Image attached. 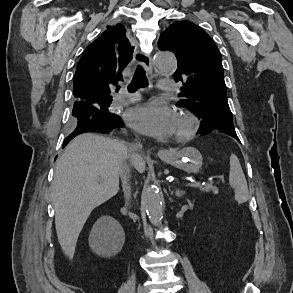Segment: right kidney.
I'll list each match as a JSON object with an SVG mask.
<instances>
[{
  "label": "right kidney",
  "mask_w": 293,
  "mask_h": 293,
  "mask_svg": "<svg viewBox=\"0 0 293 293\" xmlns=\"http://www.w3.org/2000/svg\"><path fill=\"white\" fill-rule=\"evenodd\" d=\"M108 220L114 224V226L116 227V230L115 228L111 226L109 227L107 236L102 242V249L108 255H115L121 250L124 244L125 235H124L123 229L114 218L109 217Z\"/></svg>",
  "instance_id": "obj_1"
}]
</instances>
